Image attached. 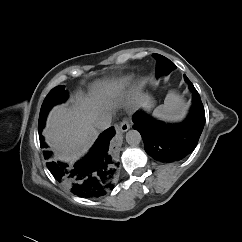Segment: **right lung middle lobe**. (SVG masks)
<instances>
[{
    "label": "right lung middle lobe",
    "mask_w": 242,
    "mask_h": 242,
    "mask_svg": "<svg viewBox=\"0 0 242 242\" xmlns=\"http://www.w3.org/2000/svg\"><path fill=\"white\" fill-rule=\"evenodd\" d=\"M65 86H57L50 91V93L46 96L40 110L39 115V131H42L44 127V123L46 120V116L52 106L65 101L68 97L67 91L64 90Z\"/></svg>",
    "instance_id": "dd1d6c3e"
}]
</instances>
